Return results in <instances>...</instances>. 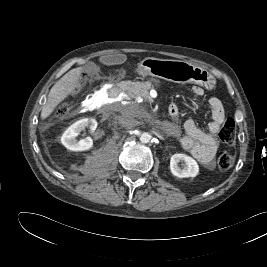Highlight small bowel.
Returning a JSON list of instances; mask_svg holds the SVG:
<instances>
[{
  "label": "small bowel",
  "instance_id": "1",
  "mask_svg": "<svg viewBox=\"0 0 267 267\" xmlns=\"http://www.w3.org/2000/svg\"><path fill=\"white\" fill-rule=\"evenodd\" d=\"M194 97H201L204 90L201 87L194 86L191 89ZM211 111V122L208 126V132H204L197 127L192 119L184 123L185 135L181 140L182 147L190 152L192 156L208 169L214 167V158L219 148L217 133L225 119V112L221 101L212 97L208 101ZM178 114V106L175 103L170 105Z\"/></svg>",
  "mask_w": 267,
  "mask_h": 267
}]
</instances>
